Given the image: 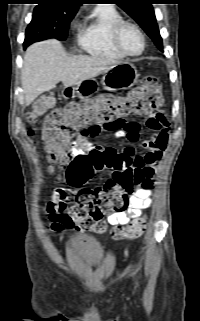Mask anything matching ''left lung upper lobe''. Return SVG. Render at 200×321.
<instances>
[{"instance_id": "obj_1", "label": "left lung upper lobe", "mask_w": 200, "mask_h": 321, "mask_svg": "<svg viewBox=\"0 0 200 321\" xmlns=\"http://www.w3.org/2000/svg\"><path fill=\"white\" fill-rule=\"evenodd\" d=\"M114 2L141 26L160 50L163 49L162 38L152 7L153 0H114Z\"/></svg>"}]
</instances>
